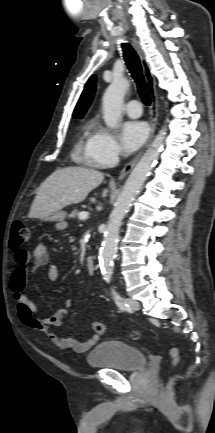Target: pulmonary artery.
<instances>
[{"mask_svg": "<svg viewBox=\"0 0 215 433\" xmlns=\"http://www.w3.org/2000/svg\"><path fill=\"white\" fill-rule=\"evenodd\" d=\"M125 112L132 118H138L142 113V106L138 100H131L125 105Z\"/></svg>", "mask_w": 215, "mask_h": 433, "instance_id": "pulmonary-artery-1", "label": "pulmonary artery"}]
</instances>
